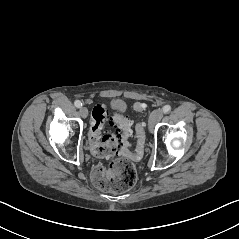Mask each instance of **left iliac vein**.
Segmentation results:
<instances>
[{
    "label": "left iliac vein",
    "instance_id": "left-iliac-vein-1",
    "mask_svg": "<svg viewBox=\"0 0 239 239\" xmlns=\"http://www.w3.org/2000/svg\"><path fill=\"white\" fill-rule=\"evenodd\" d=\"M163 117V112L159 109L152 111V113L149 116L148 120V126L150 131L153 130L156 123H158Z\"/></svg>",
    "mask_w": 239,
    "mask_h": 239
}]
</instances>
